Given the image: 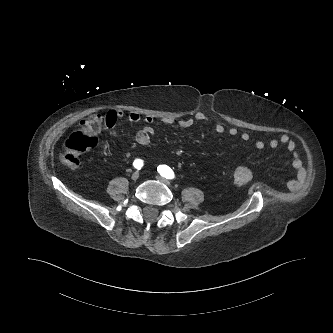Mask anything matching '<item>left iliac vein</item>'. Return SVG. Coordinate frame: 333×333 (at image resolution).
I'll return each mask as SVG.
<instances>
[{
  "mask_svg": "<svg viewBox=\"0 0 333 333\" xmlns=\"http://www.w3.org/2000/svg\"><path fill=\"white\" fill-rule=\"evenodd\" d=\"M156 179H157L158 181H160L161 183L167 185V186H171L170 181H168L167 179H165V178L162 177V176H156Z\"/></svg>",
  "mask_w": 333,
  "mask_h": 333,
  "instance_id": "1",
  "label": "left iliac vein"
}]
</instances>
